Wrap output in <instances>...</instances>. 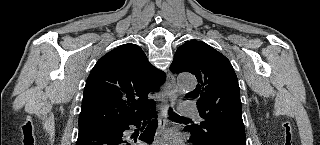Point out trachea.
<instances>
[{
  "mask_svg": "<svg viewBox=\"0 0 320 145\" xmlns=\"http://www.w3.org/2000/svg\"><path fill=\"white\" fill-rule=\"evenodd\" d=\"M169 118L175 119V120L188 119L186 117H183V116H180L178 114H175L171 108L169 109Z\"/></svg>",
  "mask_w": 320,
  "mask_h": 145,
  "instance_id": "3493384b",
  "label": "trachea"
}]
</instances>
